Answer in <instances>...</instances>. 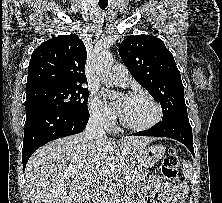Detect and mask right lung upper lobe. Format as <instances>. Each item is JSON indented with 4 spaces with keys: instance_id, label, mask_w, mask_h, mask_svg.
I'll list each match as a JSON object with an SVG mask.
<instances>
[{
    "instance_id": "1",
    "label": "right lung upper lobe",
    "mask_w": 222,
    "mask_h": 203,
    "mask_svg": "<svg viewBox=\"0 0 222 203\" xmlns=\"http://www.w3.org/2000/svg\"><path fill=\"white\" fill-rule=\"evenodd\" d=\"M86 58L85 45L75 34L61 35L43 42L32 53L26 91L86 82Z\"/></svg>"
}]
</instances>
